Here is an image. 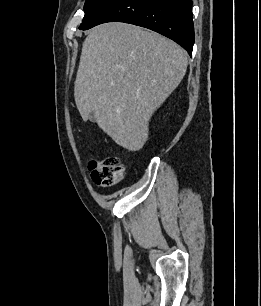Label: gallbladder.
I'll list each match as a JSON object with an SVG mask.
<instances>
[{
    "label": "gallbladder",
    "mask_w": 261,
    "mask_h": 306,
    "mask_svg": "<svg viewBox=\"0 0 261 306\" xmlns=\"http://www.w3.org/2000/svg\"><path fill=\"white\" fill-rule=\"evenodd\" d=\"M89 119H90V121H93V122L95 121V117H94V113L93 112L90 113Z\"/></svg>",
    "instance_id": "bac80fb5"
}]
</instances>
